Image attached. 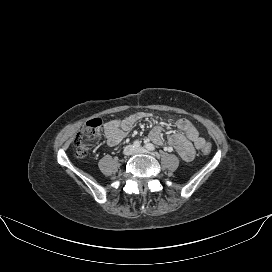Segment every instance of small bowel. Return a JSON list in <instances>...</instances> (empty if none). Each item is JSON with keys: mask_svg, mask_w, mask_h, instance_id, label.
Listing matches in <instances>:
<instances>
[{"mask_svg": "<svg viewBox=\"0 0 272 272\" xmlns=\"http://www.w3.org/2000/svg\"><path fill=\"white\" fill-rule=\"evenodd\" d=\"M148 113L137 112L122 119H114L104 125V131L109 146L118 145L127 135V132L138 121L151 119ZM178 131L168 136V150H175L185 161H191L195 155V149L204 147L206 140L199 134L197 128L188 119L181 118L176 121ZM150 139L161 144L163 142L162 128L155 125L150 131Z\"/></svg>", "mask_w": 272, "mask_h": 272, "instance_id": "c3829d8e", "label": "small bowel"}]
</instances>
